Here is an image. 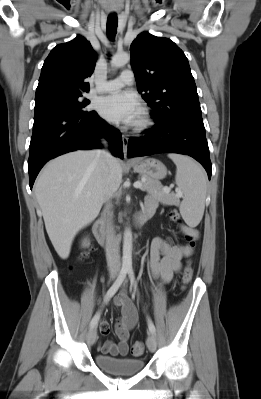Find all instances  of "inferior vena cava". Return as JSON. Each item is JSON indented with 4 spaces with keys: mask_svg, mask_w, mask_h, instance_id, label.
<instances>
[{
    "mask_svg": "<svg viewBox=\"0 0 261 399\" xmlns=\"http://www.w3.org/2000/svg\"><path fill=\"white\" fill-rule=\"evenodd\" d=\"M106 144V142H104ZM99 155L105 160L107 164H110L112 155L107 150H99ZM108 198L106 200V206L104 208V215L107 222L106 230V259L110 273L116 274L120 271V251H119V239L116 236L115 228L113 225L112 217V204L110 202L111 192H108Z\"/></svg>",
    "mask_w": 261,
    "mask_h": 399,
    "instance_id": "1",
    "label": "inferior vena cava"
}]
</instances>
